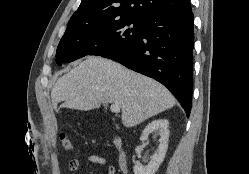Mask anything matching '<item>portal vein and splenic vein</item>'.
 <instances>
[{"mask_svg": "<svg viewBox=\"0 0 249 174\" xmlns=\"http://www.w3.org/2000/svg\"><path fill=\"white\" fill-rule=\"evenodd\" d=\"M110 110L113 112V113H119L120 112V107L118 104H112L111 107H110Z\"/></svg>", "mask_w": 249, "mask_h": 174, "instance_id": "portal-vein-and-splenic-vein-1", "label": "portal vein and splenic vein"}]
</instances>
